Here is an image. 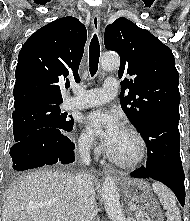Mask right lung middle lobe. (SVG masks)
I'll list each match as a JSON object with an SVG mask.
<instances>
[{
    "label": "right lung middle lobe",
    "mask_w": 190,
    "mask_h": 221,
    "mask_svg": "<svg viewBox=\"0 0 190 221\" xmlns=\"http://www.w3.org/2000/svg\"><path fill=\"white\" fill-rule=\"evenodd\" d=\"M42 104L12 114L15 142L25 139L34 131L44 127L65 128L74 124L73 119L61 113L60 105Z\"/></svg>",
    "instance_id": "obj_1"
}]
</instances>
